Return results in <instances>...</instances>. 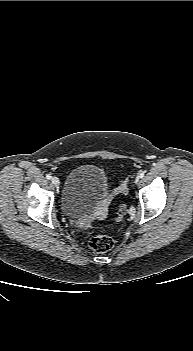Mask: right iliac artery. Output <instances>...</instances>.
I'll return each mask as SVG.
<instances>
[{
    "instance_id": "82829eb1",
    "label": "right iliac artery",
    "mask_w": 193,
    "mask_h": 351,
    "mask_svg": "<svg viewBox=\"0 0 193 351\" xmlns=\"http://www.w3.org/2000/svg\"><path fill=\"white\" fill-rule=\"evenodd\" d=\"M46 178H47V179H51V175H50V174H47V175H46Z\"/></svg>"
}]
</instances>
